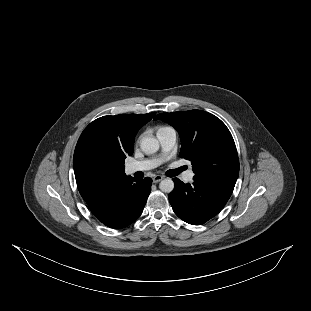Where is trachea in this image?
<instances>
[{
  "mask_svg": "<svg viewBox=\"0 0 311 311\" xmlns=\"http://www.w3.org/2000/svg\"><path fill=\"white\" fill-rule=\"evenodd\" d=\"M188 168V166H182V167H180V168H178V169H176V173L178 174V173H180L181 171H184V170H186Z\"/></svg>",
  "mask_w": 311,
  "mask_h": 311,
  "instance_id": "1",
  "label": "trachea"
}]
</instances>
